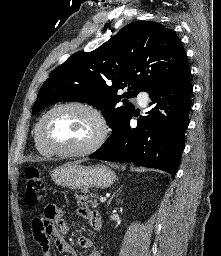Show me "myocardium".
I'll use <instances>...</instances> for the list:
<instances>
[{
    "label": "myocardium",
    "instance_id": "myocardium-1",
    "mask_svg": "<svg viewBox=\"0 0 221 256\" xmlns=\"http://www.w3.org/2000/svg\"><path fill=\"white\" fill-rule=\"evenodd\" d=\"M72 107L83 109L89 112L96 119L99 127L97 136L92 142L79 148H62V147L51 145L45 140L43 136L44 123L46 122L48 117L52 115L54 112H56L57 110L63 109V108H72ZM109 131H110L109 124L107 122L106 117L101 112V110H99L97 107H95L92 104L82 102V101H68V102L59 103L53 106L44 115H42V117L38 121L35 128L36 138L40 146L46 149L47 151L51 152L52 154L63 155V156H81V155H87L95 152L106 142L109 135Z\"/></svg>",
    "mask_w": 221,
    "mask_h": 256
}]
</instances>
